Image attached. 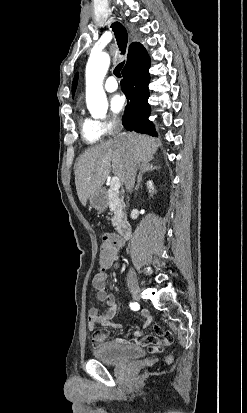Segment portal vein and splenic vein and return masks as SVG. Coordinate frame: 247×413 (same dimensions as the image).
<instances>
[{"mask_svg": "<svg viewBox=\"0 0 247 413\" xmlns=\"http://www.w3.org/2000/svg\"><path fill=\"white\" fill-rule=\"evenodd\" d=\"M120 180L118 178V176H112L111 178V188L112 190H116V192H118L119 188H120Z\"/></svg>", "mask_w": 247, "mask_h": 413, "instance_id": "1", "label": "portal vein and splenic vein"}]
</instances>
